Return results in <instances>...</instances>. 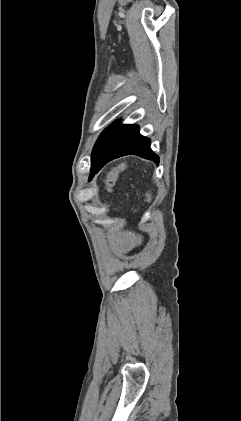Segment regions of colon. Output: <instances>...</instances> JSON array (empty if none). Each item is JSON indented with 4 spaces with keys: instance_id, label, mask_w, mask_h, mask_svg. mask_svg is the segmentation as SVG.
<instances>
[{
    "instance_id": "5ec220e1",
    "label": "colon",
    "mask_w": 241,
    "mask_h": 421,
    "mask_svg": "<svg viewBox=\"0 0 241 421\" xmlns=\"http://www.w3.org/2000/svg\"><path fill=\"white\" fill-rule=\"evenodd\" d=\"M125 167L126 165L124 163L119 164L108 173L106 178V185L109 189H112L115 186L120 173L125 169Z\"/></svg>"
}]
</instances>
